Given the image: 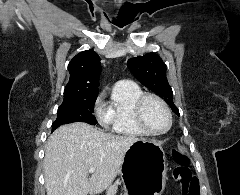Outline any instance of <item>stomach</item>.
<instances>
[{"instance_id":"obj_1","label":"stomach","mask_w":240,"mask_h":195,"mask_svg":"<svg viewBox=\"0 0 240 195\" xmlns=\"http://www.w3.org/2000/svg\"><path fill=\"white\" fill-rule=\"evenodd\" d=\"M123 195H162L167 181L165 151L156 139L130 145L120 167Z\"/></svg>"}]
</instances>
